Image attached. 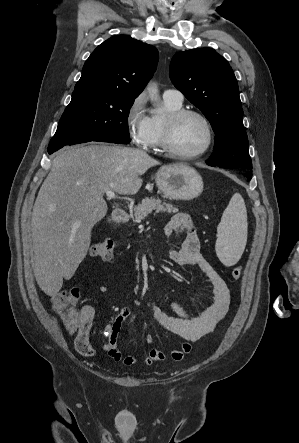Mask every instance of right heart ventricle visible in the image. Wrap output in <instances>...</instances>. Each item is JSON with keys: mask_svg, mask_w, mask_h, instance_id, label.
<instances>
[{"mask_svg": "<svg viewBox=\"0 0 299 443\" xmlns=\"http://www.w3.org/2000/svg\"><path fill=\"white\" fill-rule=\"evenodd\" d=\"M164 105L167 114L182 109V103H175L165 98ZM165 116L166 115L157 114L150 116V134L147 143L144 146L146 149L157 152L161 151V135Z\"/></svg>", "mask_w": 299, "mask_h": 443, "instance_id": "obj_1", "label": "right heart ventricle"}]
</instances>
